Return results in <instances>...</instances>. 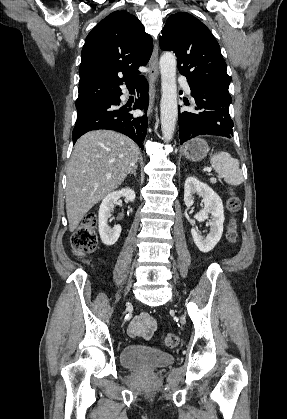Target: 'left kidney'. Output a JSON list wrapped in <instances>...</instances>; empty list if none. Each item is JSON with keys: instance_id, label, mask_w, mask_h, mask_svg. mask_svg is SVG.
Returning a JSON list of instances; mask_svg holds the SVG:
<instances>
[{"instance_id": "left-kidney-1", "label": "left kidney", "mask_w": 287, "mask_h": 419, "mask_svg": "<svg viewBox=\"0 0 287 419\" xmlns=\"http://www.w3.org/2000/svg\"><path fill=\"white\" fill-rule=\"evenodd\" d=\"M203 198L205 208L194 215L197 221H205L211 214L210 231L203 237L195 228L191 229L193 240L198 249L204 253L211 251L221 239L223 233L224 209L221 198L207 184L189 176L184 185V202L189 208L194 203V194Z\"/></svg>"}]
</instances>
